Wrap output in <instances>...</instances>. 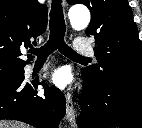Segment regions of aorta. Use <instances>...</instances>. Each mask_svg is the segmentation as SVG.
I'll use <instances>...</instances> for the list:
<instances>
[{"mask_svg": "<svg viewBox=\"0 0 142 128\" xmlns=\"http://www.w3.org/2000/svg\"><path fill=\"white\" fill-rule=\"evenodd\" d=\"M69 18L75 30L85 29L90 22V12L86 7H74L69 11Z\"/></svg>", "mask_w": 142, "mask_h": 128, "instance_id": "aorta-1", "label": "aorta"}]
</instances>
